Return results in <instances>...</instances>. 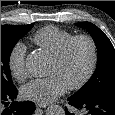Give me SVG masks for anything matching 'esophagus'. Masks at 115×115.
Masks as SVG:
<instances>
[{"instance_id":"1","label":"esophagus","mask_w":115,"mask_h":115,"mask_svg":"<svg viewBox=\"0 0 115 115\" xmlns=\"http://www.w3.org/2000/svg\"><path fill=\"white\" fill-rule=\"evenodd\" d=\"M46 106V104L36 103V107L38 108H45Z\"/></svg>"}]
</instances>
